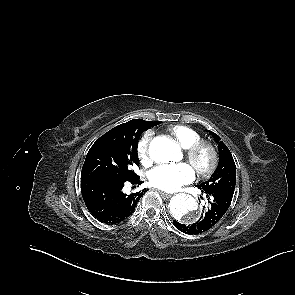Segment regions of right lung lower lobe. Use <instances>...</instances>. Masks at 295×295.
<instances>
[{"label": "right lung lower lobe", "mask_w": 295, "mask_h": 295, "mask_svg": "<svg viewBox=\"0 0 295 295\" xmlns=\"http://www.w3.org/2000/svg\"><path fill=\"white\" fill-rule=\"evenodd\" d=\"M127 181L142 184L139 176L129 180L108 177L81 179L83 200L95 218L102 223L116 224L133 213L146 189L126 195L122 189Z\"/></svg>", "instance_id": "right-lung-lower-lobe-1"}]
</instances>
